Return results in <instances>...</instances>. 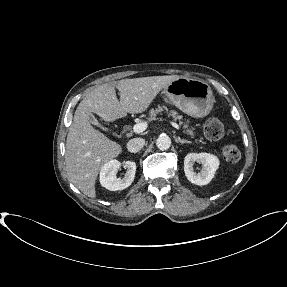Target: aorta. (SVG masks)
I'll use <instances>...</instances> for the list:
<instances>
[{"label":"aorta","instance_id":"1","mask_svg":"<svg viewBox=\"0 0 287 287\" xmlns=\"http://www.w3.org/2000/svg\"><path fill=\"white\" fill-rule=\"evenodd\" d=\"M156 146L160 150H167L171 146V139L169 136L162 134L156 140Z\"/></svg>","mask_w":287,"mask_h":287}]
</instances>
